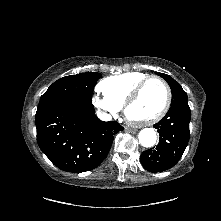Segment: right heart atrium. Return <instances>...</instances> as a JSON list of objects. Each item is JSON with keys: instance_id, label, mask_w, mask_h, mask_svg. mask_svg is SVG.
Wrapping results in <instances>:
<instances>
[{"instance_id": "1", "label": "right heart atrium", "mask_w": 221, "mask_h": 221, "mask_svg": "<svg viewBox=\"0 0 221 221\" xmlns=\"http://www.w3.org/2000/svg\"><path fill=\"white\" fill-rule=\"evenodd\" d=\"M92 103L102 117L115 115L121 109L120 106L116 105L106 97L100 96L99 89L97 90V93L93 95Z\"/></svg>"}]
</instances>
